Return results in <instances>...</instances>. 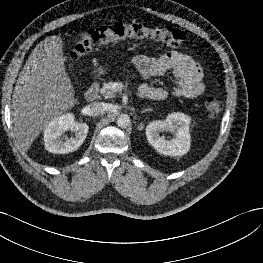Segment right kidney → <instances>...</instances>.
I'll use <instances>...</instances> for the list:
<instances>
[{"label": "right kidney", "instance_id": "ca27d5eb", "mask_svg": "<svg viewBox=\"0 0 263 263\" xmlns=\"http://www.w3.org/2000/svg\"><path fill=\"white\" fill-rule=\"evenodd\" d=\"M71 130L74 137L63 140L64 131ZM88 133V125L74 120V115L66 113L49 122L44 131L45 148L56 154H67L76 151L84 142Z\"/></svg>", "mask_w": 263, "mask_h": 263}]
</instances>
